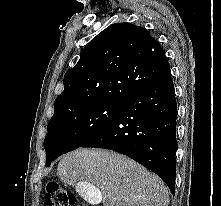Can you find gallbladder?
<instances>
[{
  "label": "gallbladder",
  "instance_id": "obj_1",
  "mask_svg": "<svg viewBox=\"0 0 221 206\" xmlns=\"http://www.w3.org/2000/svg\"><path fill=\"white\" fill-rule=\"evenodd\" d=\"M77 184L81 198H84V201L88 202V205H101L104 194L100 193L99 189H96V185H87V181H78Z\"/></svg>",
  "mask_w": 221,
  "mask_h": 206
}]
</instances>
